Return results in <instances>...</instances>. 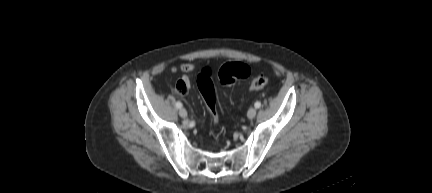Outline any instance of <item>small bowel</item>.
I'll return each mask as SVG.
<instances>
[{"label":"small bowel","mask_w":432,"mask_h":193,"mask_svg":"<svg viewBox=\"0 0 432 193\" xmlns=\"http://www.w3.org/2000/svg\"><path fill=\"white\" fill-rule=\"evenodd\" d=\"M181 70L185 73L184 76L177 82V90L179 93L184 94L187 92L190 86L189 73L193 71L194 66L190 63H185L181 65Z\"/></svg>","instance_id":"1"}]
</instances>
